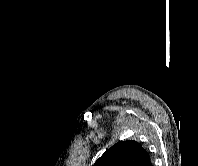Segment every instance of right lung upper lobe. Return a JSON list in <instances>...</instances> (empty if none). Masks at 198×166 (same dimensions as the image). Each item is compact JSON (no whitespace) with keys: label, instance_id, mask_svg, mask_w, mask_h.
I'll list each match as a JSON object with an SVG mask.
<instances>
[{"label":"right lung upper lobe","instance_id":"1","mask_svg":"<svg viewBox=\"0 0 198 166\" xmlns=\"http://www.w3.org/2000/svg\"><path fill=\"white\" fill-rule=\"evenodd\" d=\"M93 166H151L148 152L136 141H119Z\"/></svg>","mask_w":198,"mask_h":166}]
</instances>
